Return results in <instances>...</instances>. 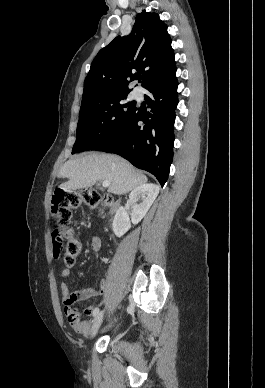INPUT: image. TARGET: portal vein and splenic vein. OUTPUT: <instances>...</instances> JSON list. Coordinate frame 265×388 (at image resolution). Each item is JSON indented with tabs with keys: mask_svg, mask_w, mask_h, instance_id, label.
<instances>
[{
	"mask_svg": "<svg viewBox=\"0 0 265 388\" xmlns=\"http://www.w3.org/2000/svg\"><path fill=\"white\" fill-rule=\"evenodd\" d=\"M102 186L103 188H108V186H110V182H108V180H104V182H102Z\"/></svg>",
	"mask_w": 265,
	"mask_h": 388,
	"instance_id": "obj_1",
	"label": "portal vein and splenic vein"
}]
</instances>
